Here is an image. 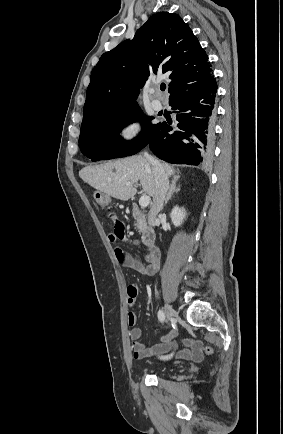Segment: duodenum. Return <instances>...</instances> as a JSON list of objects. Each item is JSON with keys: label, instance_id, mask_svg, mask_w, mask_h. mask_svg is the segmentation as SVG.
<instances>
[{"label": "duodenum", "instance_id": "obj_1", "mask_svg": "<svg viewBox=\"0 0 283 434\" xmlns=\"http://www.w3.org/2000/svg\"><path fill=\"white\" fill-rule=\"evenodd\" d=\"M131 211L133 217L142 224V241L144 245L153 252H159L155 247L156 233L148 223V216L136 204H132Z\"/></svg>", "mask_w": 283, "mask_h": 434}]
</instances>
